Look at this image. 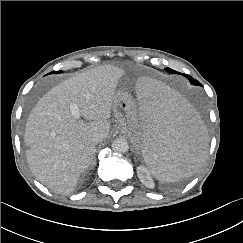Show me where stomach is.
Returning a JSON list of instances; mask_svg holds the SVG:
<instances>
[{"instance_id":"stomach-1","label":"stomach","mask_w":243,"mask_h":243,"mask_svg":"<svg viewBox=\"0 0 243 243\" xmlns=\"http://www.w3.org/2000/svg\"><path fill=\"white\" fill-rule=\"evenodd\" d=\"M112 111L117 119L120 131L127 134L136 145V136L138 133L136 127V108L135 101L131 94L124 90H118L115 93Z\"/></svg>"}]
</instances>
